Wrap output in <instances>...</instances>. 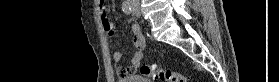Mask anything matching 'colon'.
I'll use <instances>...</instances> for the list:
<instances>
[{
	"label": "colon",
	"instance_id": "5ec220e1",
	"mask_svg": "<svg viewBox=\"0 0 279 82\" xmlns=\"http://www.w3.org/2000/svg\"><path fill=\"white\" fill-rule=\"evenodd\" d=\"M103 19L108 23L110 22L106 17ZM140 74L165 82H186V78L182 74L155 64L141 66Z\"/></svg>",
	"mask_w": 279,
	"mask_h": 82
}]
</instances>
